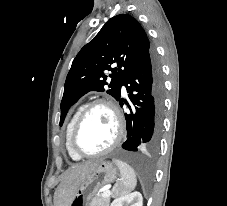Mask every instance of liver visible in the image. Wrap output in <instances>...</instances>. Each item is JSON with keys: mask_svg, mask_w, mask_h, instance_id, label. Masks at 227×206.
<instances>
[{"mask_svg": "<svg viewBox=\"0 0 227 206\" xmlns=\"http://www.w3.org/2000/svg\"><path fill=\"white\" fill-rule=\"evenodd\" d=\"M99 163V161H89L69 169L56 189L54 196L55 206H69L79 185L94 171Z\"/></svg>", "mask_w": 227, "mask_h": 206, "instance_id": "obj_1", "label": "liver"}]
</instances>
